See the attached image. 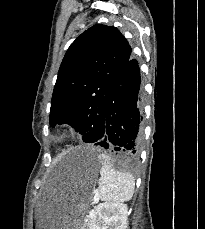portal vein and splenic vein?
<instances>
[{
    "instance_id": "1",
    "label": "portal vein and splenic vein",
    "mask_w": 205,
    "mask_h": 229,
    "mask_svg": "<svg viewBox=\"0 0 205 229\" xmlns=\"http://www.w3.org/2000/svg\"><path fill=\"white\" fill-rule=\"evenodd\" d=\"M97 201H98V199L95 197V198H94V204H95ZM93 212H94V210H91V211L89 212V216H88V217L92 216V215H93Z\"/></svg>"
}]
</instances>
